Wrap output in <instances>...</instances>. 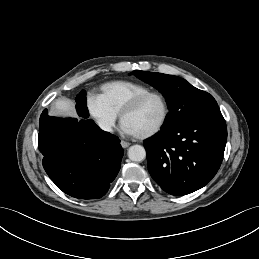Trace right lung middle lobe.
<instances>
[{
  "label": "right lung middle lobe",
  "instance_id": "dd1d6c3e",
  "mask_svg": "<svg viewBox=\"0 0 259 259\" xmlns=\"http://www.w3.org/2000/svg\"><path fill=\"white\" fill-rule=\"evenodd\" d=\"M77 112H81L88 117V110L86 106V92L82 90L76 97Z\"/></svg>",
  "mask_w": 259,
  "mask_h": 259
}]
</instances>
